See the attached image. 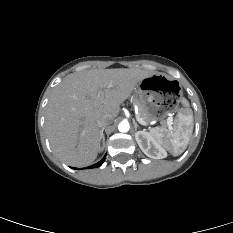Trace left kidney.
<instances>
[{
  "label": "left kidney",
  "mask_w": 233,
  "mask_h": 233,
  "mask_svg": "<svg viewBox=\"0 0 233 233\" xmlns=\"http://www.w3.org/2000/svg\"><path fill=\"white\" fill-rule=\"evenodd\" d=\"M135 139L143 153L152 159H162L167 156L165 149L158 144L150 133L138 131L135 133Z\"/></svg>",
  "instance_id": "obj_1"
}]
</instances>
